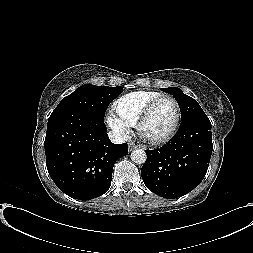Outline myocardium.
Listing matches in <instances>:
<instances>
[{"instance_id": "f54148a6", "label": "myocardium", "mask_w": 253, "mask_h": 253, "mask_svg": "<svg viewBox=\"0 0 253 253\" xmlns=\"http://www.w3.org/2000/svg\"><path fill=\"white\" fill-rule=\"evenodd\" d=\"M165 99L171 100L175 105L176 118H175L174 124H173L172 128L169 130V132L167 134H165L164 136L159 137V138H150L144 134V131H143L144 126H145L146 122L148 121V119L150 118L155 107L162 100H165ZM180 120H181V108H180V104L176 100V98L171 95H161V96L155 98L153 101H151L147 105V107L144 109L142 114L140 115V117L137 121V124H136L137 133L143 141L147 142L150 145H162V144H165L168 141H170L173 138V136L176 134L179 124H180Z\"/></svg>"}]
</instances>
